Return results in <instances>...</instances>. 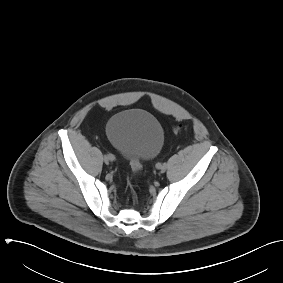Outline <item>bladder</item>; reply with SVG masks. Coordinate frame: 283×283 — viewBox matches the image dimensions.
<instances>
[{"label":"bladder","instance_id":"bladder-1","mask_svg":"<svg viewBox=\"0 0 283 283\" xmlns=\"http://www.w3.org/2000/svg\"><path fill=\"white\" fill-rule=\"evenodd\" d=\"M106 135L124 157L139 161L154 158L164 143L161 123L142 109H128L113 115L107 122Z\"/></svg>","mask_w":283,"mask_h":283}]
</instances>
